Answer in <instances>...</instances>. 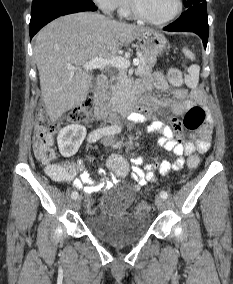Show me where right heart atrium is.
<instances>
[{"mask_svg": "<svg viewBox=\"0 0 233 284\" xmlns=\"http://www.w3.org/2000/svg\"><path fill=\"white\" fill-rule=\"evenodd\" d=\"M103 11L113 12L120 8L124 0H93Z\"/></svg>", "mask_w": 233, "mask_h": 284, "instance_id": "obj_1", "label": "right heart atrium"}]
</instances>
